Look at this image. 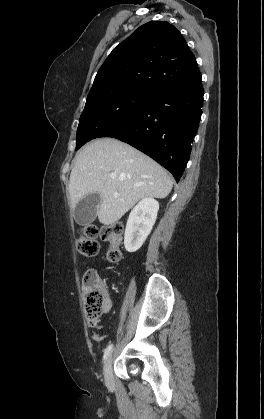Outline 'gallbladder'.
I'll use <instances>...</instances> for the list:
<instances>
[{"mask_svg": "<svg viewBox=\"0 0 264 419\" xmlns=\"http://www.w3.org/2000/svg\"><path fill=\"white\" fill-rule=\"evenodd\" d=\"M101 203V197L98 193H91L81 199L75 209V221L79 225H88L92 223L97 215L98 207Z\"/></svg>", "mask_w": 264, "mask_h": 419, "instance_id": "1", "label": "gallbladder"}]
</instances>
